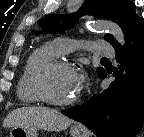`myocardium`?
Listing matches in <instances>:
<instances>
[{"mask_svg":"<svg viewBox=\"0 0 144 137\" xmlns=\"http://www.w3.org/2000/svg\"><path fill=\"white\" fill-rule=\"evenodd\" d=\"M59 68L74 70L73 66L67 61L57 59L50 60L37 67V69L34 71L31 80L32 89L39 100L44 103L53 106L73 105L78 101V96H74L68 100H58L53 98L47 91L46 79L48 75Z\"/></svg>","mask_w":144,"mask_h":137,"instance_id":"f54148a6","label":"myocardium"}]
</instances>
